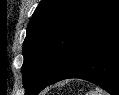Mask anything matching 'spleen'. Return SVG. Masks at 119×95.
Masks as SVG:
<instances>
[{"label": "spleen", "mask_w": 119, "mask_h": 95, "mask_svg": "<svg viewBox=\"0 0 119 95\" xmlns=\"http://www.w3.org/2000/svg\"><path fill=\"white\" fill-rule=\"evenodd\" d=\"M86 95H108V93L101 88L96 87L95 90H90Z\"/></svg>", "instance_id": "1"}]
</instances>
